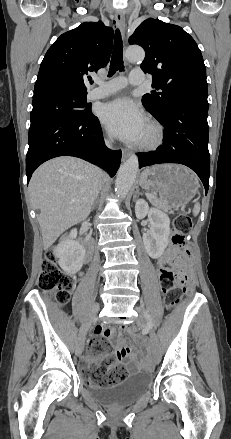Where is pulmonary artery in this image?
Listing matches in <instances>:
<instances>
[{
    "label": "pulmonary artery",
    "instance_id": "e3ab8cb5",
    "mask_svg": "<svg viewBox=\"0 0 231 439\" xmlns=\"http://www.w3.org/2000/svg\"><path fill=\"white\" fill-rule=\"evenodd\" d=\"M144 82H145L144 72L140 69H135L131 71L128 77L119 76L110 80L106 84H101L98 87L92 89L88 93V99L90 100L100 99L123 89L128 84L140 85L143 84Z\"/></svg>",
    "mask_w": 231,
    "mask_h": 439
}]
</instances>
